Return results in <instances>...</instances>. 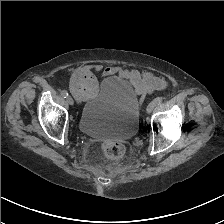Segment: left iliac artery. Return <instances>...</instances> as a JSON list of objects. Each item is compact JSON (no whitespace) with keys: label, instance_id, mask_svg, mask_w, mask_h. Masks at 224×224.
<instances>
[{"label":"left iliac artery","instance_id":"1","mask_svg":"<svg viewBox=\"0 0 224 224\" xmlns=\"http://www.w3.org/2000/svg\"><path fill=\"white\" fill-rule=\"evenodd\" d=\"M162 98L161 97H157V98H155L154 99V103L156 104V105H160L161 104V102H162Z\"/></svg>","mask_w":224,"mask_h":224}]
</instances>
